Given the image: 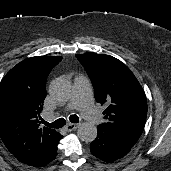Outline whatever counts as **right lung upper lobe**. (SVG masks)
I'll list each match as a JSON object with an SVG mask.
<instances>
[{"label": "right lung upper lobe", "instance_id": "right-lung-upper-lobe-1", "mask_svg": "<svg viewBox=\"0 0 171 171\" xmlns=\"http://www.w3.org/2000/svg\"><path fill=\"white\" fill-rule=\"evenodd\" d=\"M61 60V56L28 58L0 83V137L20 162L32 165L42 159L60 135L39 123L47 77Z\"/></svg>", "mask_w": 171, "mask_h": 171}]
</instances>
